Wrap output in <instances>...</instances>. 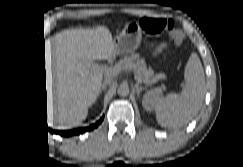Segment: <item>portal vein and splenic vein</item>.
I'll list each match as a JSON object with an SVG mask.
<instances>
[{"instance_id": "portal-vein-and-splenic-vein-1", "label": "portal vein and splenic vein", "mask_w": 243, "mask_h": 167, "mask_svg": "<svg viewBox=\"0 0 243 167\" xmlns=\"http://www.w3.org/2000/svg\"><path fill=\"white\" fill-rule=\"evenodd\" d=\"M104 69L107 73L112 74V75H117L120 72V69L116 66L110 67V68H104Z\"/></svg>"}]
</instances>
